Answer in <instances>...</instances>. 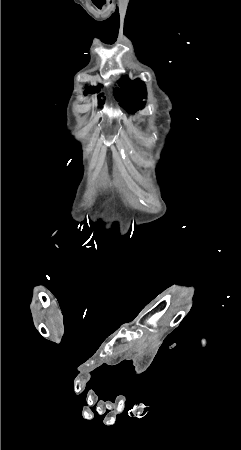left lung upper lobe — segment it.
<instances>
[{"label": "left lung upper lobe", "mask_w": 241, "mask_h": 450, "mask_svg": "<svg viewBox=\"0 0 241 450\" xmlns=\"http://www.w3.org/2000/svg\"><path fill=\"white\" fill-rule=\"evenodd\" d=\"M118 84L120 88L114 89V95L121 102L122 107L130 112H136L142 105L144 106L145 102L142 99L146 98L147 91L142 81L139 79L130 81L126 76H123Z\"/></svg>", "instance_id": "1"}]
</instances>
